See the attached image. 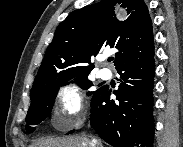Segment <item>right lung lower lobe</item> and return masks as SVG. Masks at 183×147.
<instances>
[{"label": "right lung lower lobe", "instance_id": "right-lung-lower-lobe-1", "mask_svg": "<svg viewBox=\"0 0 183 147\" xmlns=\"http://www.w3.org/2000/svg\"><path fill=\"white\" fill-rule=\"evenodd\" d=\"M154 52L131 58L118 67L121 83L111 90L99 88L91 98V126L100 138L115 147H152L154 134Z\"/></svg>", "mask_w": 183, "mask_h": 147}]
</instances>
